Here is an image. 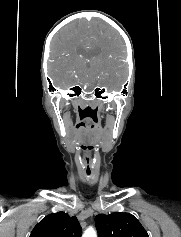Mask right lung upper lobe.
I'll use <instances>...</instances> for the list:
<instances>
[{"mask_svg": "<svg viewBox=\"0 0 181 237\" xmlns=\"http://www.w3.org/2000/svg\"><path fill=\"white\" fill-rule=\"evenodd\" d=\"M29 237H81V226L75 216L52 213L34 227Z\"/></svg>", "mask_w": 181, "mask_h": 237, "instance_id": "obj_1", "label": "right lung upper lobe"}]
</instances>
